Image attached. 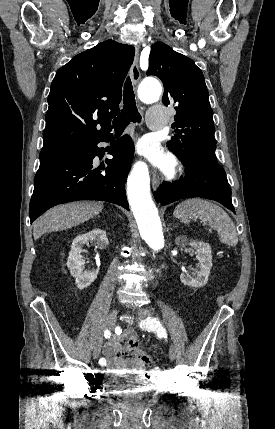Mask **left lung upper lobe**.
<instances>
[{"instance_id": "obj_1", "label": "left lung upper lobe", "mask_w": 275, "mask_h": 429, "mask_svg": "<svg viewBox=\"0 0 275 429\" xmlns=\"http://www.w3.org/2000/svg\"><path fill=\"white\" fill-rule=\"evenodd\" d=\"M147 75L164 84L162 102L175 107L176 128L169 145L181 161L208 158L217 162L213 110L202 71L190 58L163 43H155Z\"/></svg>"}]
</instances>
